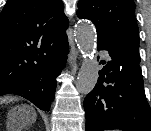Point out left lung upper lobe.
Returning a JSON list of instances; mask_svg holds the SVG:
<instances>
[{
	"mask_svg": "<svg viewBox=\"0 0 151 131\" xmlns=\"http://www.w3.org/2000/svg\"><path fill=\"white\" fill-rule=\"evenodd\" d=\"M133 0H79L77 16L89 19L97 30V42L132 63H140L138 26Z\"/></svg>",
	"mask_w": 151,
	"mask_h": 131,
	"instance_id": "5c2ea615",
	"label": "left lung upper lobe"
}]
</instances>
